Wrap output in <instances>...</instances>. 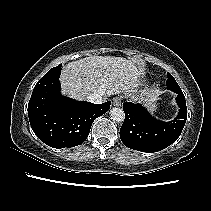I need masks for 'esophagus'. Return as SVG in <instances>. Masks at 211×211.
<instances>
[{
	"label": "esophagus",
	"instance_id": "34e87169",
	"mask_svg": "<svg viewBox=\"0 0 211 211\" xmlns=\"http://www.w3.org/2000/svg\"><path fill=\"white\" fill-rule=\"evenodd\" d=\"M113 105L116 106V107H119L121 106L122 104V98L120 97H115L112 101Z\"/></svg>",
	"mask_w": 211,
	"mask_h": 211
}]
</instances>
